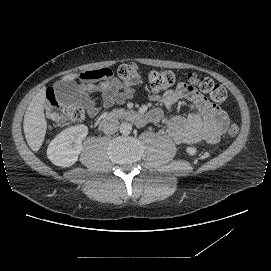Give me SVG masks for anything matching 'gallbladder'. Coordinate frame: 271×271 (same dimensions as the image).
Listing matches in <instances>:
<instances>
[{
    "mask_svg": "<svg viewBox=\"0 0 271 271\" xmlns=\"http://www.w3.org/2000/svg\"><path fill=\"white\" fill-rule=\"evenodd\" d=\"M57 100L66 108H75L82 101L81 85L71 79L56 81L53 85Z\"/></svg>",
    "mask_w": 271,
    "mask_h": 271,
    "instance_id": "1",
    "label": "gallbladder"
}]
</instances>
